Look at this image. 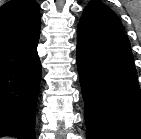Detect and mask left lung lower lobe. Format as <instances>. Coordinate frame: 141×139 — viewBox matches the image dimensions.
<instances>
[{
  "mask_svg": "<svg viewBox=\"0 0 141 139\" xmlns=\"http://www.w3.org/2000/svg\"><path fill=\"white\" fill-rule=\"evenodd\" d=\"M77 66L87 139H141L140 88L127 36L80 20Z\"/></svg>",
  "mask_w": 141,
  "mask_h": 139,
  "instance_id": "left-lung-lower-lobe-1",
  "label": "left lung lower lobe"
}]
</instances>
